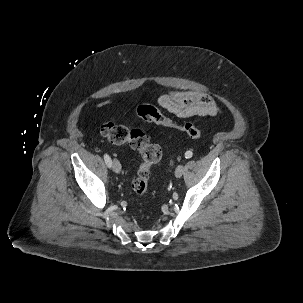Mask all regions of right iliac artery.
<instances>
[{"mask_svg": "<svg viewBox=\"0 0 303 303\" xmlns=\"http://www.w3.org/2000/svg\"><path fill=\"white\" fill-rule=\"evenodd\" d=\"M104 160H105V163L108 167H111L112 166V161H111V158L108 154H105L104 155Z\"/></svg>", "mask_w": 303, "mask_h": 303, "instance_id": "1", "label": "right iliac artery"}]
</instances>
